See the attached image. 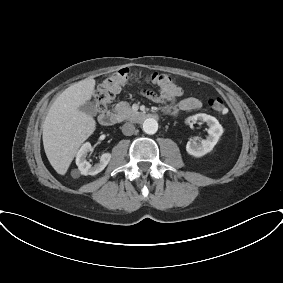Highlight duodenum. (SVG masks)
<instances>
[{
	"label": "duodenum",
	"mask_w": 283,
	"mask_h": 283,
	"mask_svg": "<svg viewBox=\"0 0 283 283\" xmlns=\"http://www.w3.org/2000/svg\"><path fill=\"white\" fill-rule=\"evenodd\" d=\"M154 118V114L149 112H137L134 120L136 122H144L148 119ZM98 121L103 126H110L115 123L116 115L112 111H104L99 114Z\"/></svg>",
	"instance_id": "obj_1"
}]
</instances>
